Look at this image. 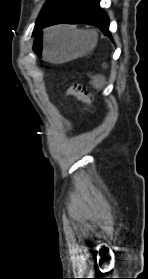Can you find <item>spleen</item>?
Here are the masks:
<instances>
[{"label": "spleen", "instance_id": "spleen-1", "mask_svg": "<svg viewBox=\"0 0 148 279\" xmlns=\"http://www.w3.org/2000/svg\"><path fill=\"white\" fill-rule=\"evenodd\" d=\"M81 33L83 34H89V33H94L96 36V32L95 31H81ZM93 85L97 88V89H101L104 85V78L103 77H97L94 79L93 81Z\"/></svg>", "mask_w": 148, "mask_h": 279}]
</instances>
